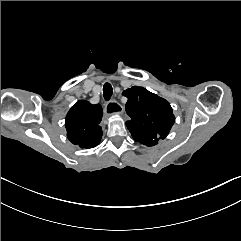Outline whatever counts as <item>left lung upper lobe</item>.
Returning <instances> with one entry per match:
<instances>
[{"mask_svg": "<svg viewBox=\"0 0 241 241\" xmlns=\"http://www.w3.org/2000/svg\"><path fill=\"white\" fill-rule=\"evenodd\" d=\"M122 94L128 98L126 112L131 119L126 126L135 141L154 146L168 135L175 121L168 101L138 86Z\"/></svg>", "mask_w": 241, "mask_h": 241, "instance_id": "left-lung-upper-lobe-1", "label": "left lung upper lobe"}]
</instances>
